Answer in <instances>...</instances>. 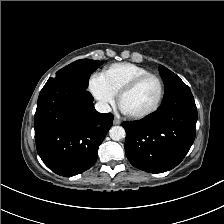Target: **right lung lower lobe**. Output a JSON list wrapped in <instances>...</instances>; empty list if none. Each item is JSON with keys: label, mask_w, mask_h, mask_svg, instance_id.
I'll return each mask as SVG.
<instances>
[{"label": "right lung lower lobe", "mask_w": 224, "mask_h": 224, "mask_svg": "<svg viewBox=\"0 0 224 224\" xmlns=\"http://www.w3.org/2000/svg\"><path fill=\"white\" fill-rule=\"evenodd\" d=\"M86 89L47 81L34 119L37 152L53 172L71 177L94 165L99 145L112 126L113 115L94 109Z\"/></svg>", "instance_id": "1"}]
</instances>
